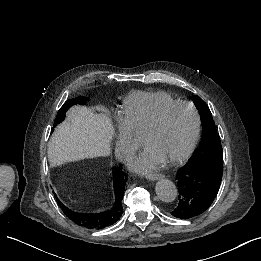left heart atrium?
<instances>
[{
    "instance_id": "obj_1",
    "label": "left heart atrium",
    "mask_w": 261,
    "mask_h": 261,
    "mask_svg": "<svg viewBox=\"0 0 261 261\" xmlns=\"http://www.w3.org/2000/svg\"><path fill=\"white\" fill-rule=\"evenodd\" d=\"M134 146L137 148L138 153L130 162V166L133 170L146 173L158 167L161 158L147 143L137 139Z\"/></svg>"
}]
</instances>
